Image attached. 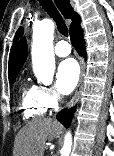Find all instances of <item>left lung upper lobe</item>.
Instances as JSON below:
<instances>
[{
	"label": "left lung upper lobe",
	"mask_w": 114,
	"mask_h": 156,
	"mask_svg": "<svg viewBox=\"0 0 114 156\" xmlns=\"http://www.w3.org/2000/svg\"><path fill=\"white\" fill-rule=\"evenodd\" d=\"M22 33H23V28L20 27V28L18 29V31L16 32V35H15V37H14V44L17 42V39L22 35ZM14 44H13V45H14Z\"/></svg>",
	"instance_id": "obj_1"
}]
</instances>
